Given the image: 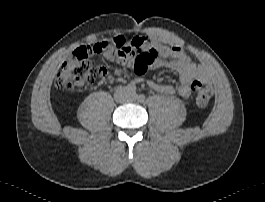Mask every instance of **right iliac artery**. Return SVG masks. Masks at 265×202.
<instances>
[{"instance_id": "1", "label": "right iliac artery", "mask_w": 265, "mask_h": 202, "mask_svg": "<svg viewBox=\"0 0 265 202\" xmlns=\"http://www.w3.org/2000/svg\"><path fill=\"white\" fill-rule=\"evenodd\" d=\"M126 90L129 92V93H132L134 94L136 92V86L134 83H129L127 86H126Z\"/></svg>"}]
</instances>
